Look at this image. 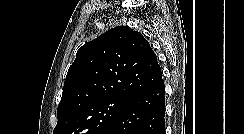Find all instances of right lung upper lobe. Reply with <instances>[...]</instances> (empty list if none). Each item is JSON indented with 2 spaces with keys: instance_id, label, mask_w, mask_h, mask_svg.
Segmentation results:
<instances>
[{
  "instance_id": "obj_1",
  "label": "right lung upper lobe",
  "mask_w": 244,
  "mask_h": 134,
  "mask_svg": "<svg viewBox=\"0 0 244 134\" xmlns=\"http://www.w3.org/2000/svg\"><path fill=\"white\" fill-rule=\"evenodd\" d=\"M162 81L157 56L143 35L127 26L113 28L77 51L64 82L58 120L100 100L129 99Z\"/></svg>"
}]
</instances>
